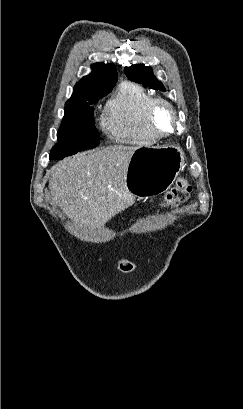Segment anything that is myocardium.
I'll use <instances>...</instances> for the list:
<instances>
[{
	"instance_id": "f54148a6",
	"label": "myocardium",
	"mask_w": 243,
	"mask_h": 409,
	"mask_svg": "<svg viewBox=\"0 0 243 409\" xmlns=\"http://www.w3.org/2000/svg\"><path fill=\"white\" fill-rule=\"evenodd\" d=\"M160 107L167 108L173 119V127L171 130L167 132L159 131L155 124V115ZM146 123H147L149 131L153 134V136H155L157 139H161V138L169 137L175 133L179 125V119H178V115L174 107L169 101L162 99V98H154L149 103L147 110H146Z\"/></svg>"
}]
</instances>
